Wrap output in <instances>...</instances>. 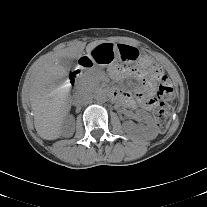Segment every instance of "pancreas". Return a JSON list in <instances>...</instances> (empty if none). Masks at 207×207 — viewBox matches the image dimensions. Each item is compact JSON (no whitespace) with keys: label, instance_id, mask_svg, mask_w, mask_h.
Here are the masks:
<instances>
[{"label":"pancreas","instance_id":"1","mask_svg":"<svg viewBox=\"0 0 207 207\" xmlns=\"http://www.w3.org/2000/svg\"><path fill=\"white\" fill-rule=\"evenodd\" d=\"M102 73L98 70L88 71L82 74L81 76V85L86 89L93 90L97 87L98 82L102 78Z\"/></svg>","mask_w":207,"mask_h":207}]
</instances>
